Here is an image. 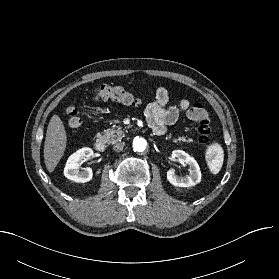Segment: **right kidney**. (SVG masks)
Listing matches in <instances>:
<instances>
[{"label": "right kidney", "mask_w": 279, "mask_h": 279, "mask_svg": "<svg viewBox=\"0 0 279 279\" xmlns=\"http://www.w3.org/2000/svg\"><path fill=\"white\" fill-rule=\"evenodd\" d=\"M93 156V150L91 148H82L73 153L67 160L64 168V176L71 181L77 183H85L92 179L93 171L91 168H84L79 171L80 161L83 159L91 158ZM100 173V169L97 170L96 174Z\"/></svg>", "instance_id": "ca27d5eb"}]
</instances>
